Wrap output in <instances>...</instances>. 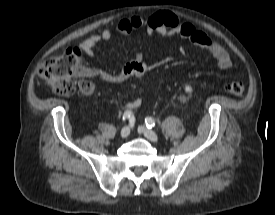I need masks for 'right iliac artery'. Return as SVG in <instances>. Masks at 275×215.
I'll return each instance as SVG.
<instances>
[{"mask_svg":"<svg viewBox=\"0 0 275 215\" xmlns=\"http://www.w3.org/2000/svg\"><path fill=\"white\" fill-rule=\"evenodd\" d=\"M132 118H133L132 112L131 111H126L123 114L122 121H125L126 119H132Z\"/></svg>","mask_w":275,"mask_h":215,"instance_id":"82829eb1","label":"right iliac artery"}]
</instances>
